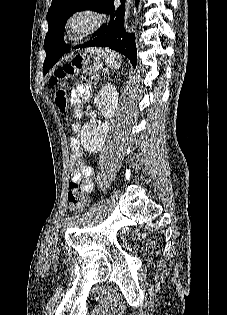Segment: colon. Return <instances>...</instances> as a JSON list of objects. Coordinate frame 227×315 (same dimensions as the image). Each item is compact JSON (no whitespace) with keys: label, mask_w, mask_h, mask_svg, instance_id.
Wrapping results in <instances>:
<instances>
[{"label":"colon","mask_w":227,"mask_h":315,"mask_svg":"<svg viewBox=\"0 0 227 315\" xmlns=\"http://www.w3.org/2000/svg\"><path fill=\"white\" fill-rule=\"evenodd\" d=\"M84 58L81 56L75 57L70 63L58 68L49 79V85L55 90V101L62 113L68 112L67 101V85L71 77L76 75L84 65ZM68 205L75 212L83 211L88 203L89 197L83 191L78 182H71L67 192ZM152 245L153 242H150Z\"/></svg>","instance_id":"5ec220e1"}]
</instances>
